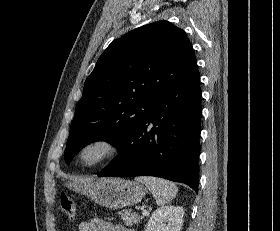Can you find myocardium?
<instances>
[{"label": "myocardium", "instance_id": "obj_1", "mask_svg": "<svg viewBox=\"0 0 280 231\" xmlns=\"http://www.w3.org/2000/svg\"><path fill=\"white\" fill-rule=\"evenodd\" d=\"M99 141H103L106 142L110 145V153L108 154V156L98 165L93 166V167H84L81 165L80 163V157L81 154L83 152V150L90 144L94 143V142H99ZM123 151V142L121 140V138L113 133H102V134H98L95 135L89 139H87L78 149L77 154H76V161L78 166L85 170V171H95L98 170L104 166H106L107 164H109L111 161L115 160L117 157H119L121 155Z\"/></svg>", "mask_w": 280, "mask_h": 231}]
</instances>
